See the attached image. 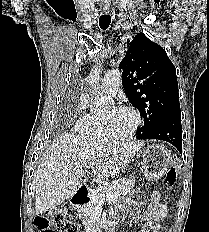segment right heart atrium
<instances>
[{"mask_svg": "<svg viewBox=\"0 0 209 232\" xmlns=\"http://www.w3.org/2000/svg\"><path fill=\"white\" fill-rule=\"evenodd\" d=\"M80 109L81 110H84L85 109V102L84 101H82V103H81V105H80ZM81 119V118H80ZM80 119L77 121V123H76V128H78V126H79V122H80Z\"/></svg>", "mask_w": 209, "mask_h": 232, "instance_id": "obj_1", "label": "right heart atrium"}]
</instances>
